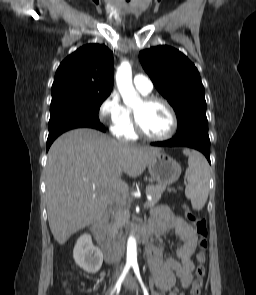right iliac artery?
<instances>
[{
  "mask_svg": "<svg viewBox=\"0 0 256 295\" xmlns=\"http://www.w3.org/2000/svg\"><path fill=\"white\" fill-rule=\"evenodd\" d=\"M131 265H132L131 263H126V265L124 267V270H123L121 276L119 277V279H118V281H117V283H116V285H115V287H114V289H113V291L111 292L110 295H113V293L116 290H120L121 284H122L123 280L125 279V277H126L128 271H129Z\"/></svg>",
  "mask_w": 256,
  "mask_h": 295,
  "instance_id": "82829eb1",
  "label": "right iliac artery"
}]
</instances>
